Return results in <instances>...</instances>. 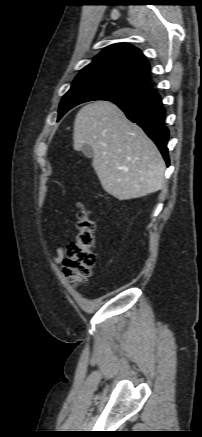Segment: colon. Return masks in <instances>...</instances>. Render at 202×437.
<instances>
[{"instance_id": "obj_1", "label": "colon", "mask_w": 202, "mask_h": 437, "mask_svg": "<svg viewBox=\"0 0 202 437\" xmlns=\"http://www.w3.org/2000/svg\"><path fill=\"white\" fill-rule=\"evenodd\" d=\"M77 232L67 245L63 260V274L74 285L85 283L92 275L96 263L95 224L91 212L83 203L77 204Z\"/></svg>"}]
</instances>
